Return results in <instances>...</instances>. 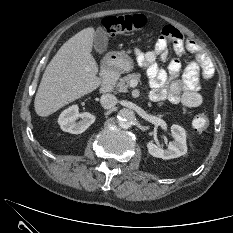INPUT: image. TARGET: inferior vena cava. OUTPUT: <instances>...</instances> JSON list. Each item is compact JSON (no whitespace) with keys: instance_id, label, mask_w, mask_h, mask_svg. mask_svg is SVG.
<instances>
[{"instance_id":"1","label":"inferior vena cava","mask_w":233,"mask_h":233,"mask_svg":"<svg viewBox=\"0 0 233 233\" xmlns=\"http://www.w3.org/2000/svg\"><path fill=\"white\" fill-rule=\"evenodd\" d=\"M118 100L113 94H103L100 103L105 109H111L117 104Z\"/></svg>"}]
</instances>
